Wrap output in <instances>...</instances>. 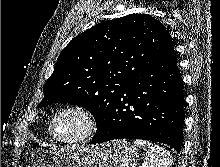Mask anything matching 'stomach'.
I'll return each instance as SVG.
<instances>
[{"label": "stomach", "instance_id": "stomach-1", "mask_svg": "<svg viewBox=\"0 0 220 167\" xmlns=\"http://www.w3.org/2000/svg\"><path fill=\"white\" fill-rule=\"evenodd\" d=\"M138 151L128 141L116 140L89 147H67L54 152L35 149L30 167H136Z\"/></svg>", "mask_w": 220, "mask_h": 167}]
</instances>
